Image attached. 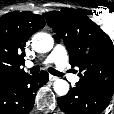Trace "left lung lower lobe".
Wrapping results in <instances>:
<instances>
[{"mask_svg":"<svg viewBox=\"0 0 114 114\" xmlns=\"http://www.w3.org/2000/svg\"><path fill=\"white\" fill-rule=\"evenodd\" d=\"M113 93L112 89L79 81L67 95L59 97L57 103L66 114H101Z\"/></svg>","mask_w":114,"mask_h":114,"instance_id":"obj_1","label":"left lung lower lobe"}]
</instances>
